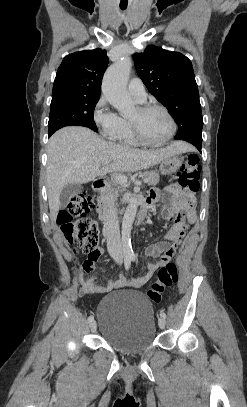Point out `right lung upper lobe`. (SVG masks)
<instances>
[{"mask_svg":"<svg viewBox=\"0 0 247 407\" xmlns=\"http://www.w3.org/2000/svg\"><path fill=\"white\" fill-rule=\"evenodd\" d=\"M107 64L106 51L102 49L81 51L66 56L56 73L52 97L100 96L101 80Z\"/></svg>","mask_w":247,"mask_h":407,"instance_id":"cb5924a9","label":"right lung upper lobe"}]
</instances>
